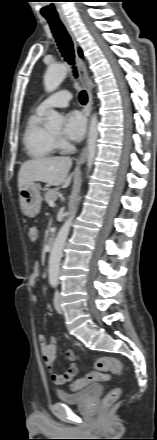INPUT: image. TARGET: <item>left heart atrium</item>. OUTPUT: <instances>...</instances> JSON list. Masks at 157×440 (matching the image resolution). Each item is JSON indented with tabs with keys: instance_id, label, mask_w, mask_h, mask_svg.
Listing matches in <instances>:
<instances>
[{
	"instance_id": "1",
	"label": "left heart atrium",
	"mask_w": 157,
	"mask_h": 440,
	"mask_svg": "<svg viewBox=\"0 0 157 440\" xmlns=\"http://www.w3.org/2000/svg\"><path fill=\"white\" fill-rule=\"evenodd\" d=\"M86 132L85 118L79 113H70L65 117L63 136L70 141H80Z\"/></svg>"
}]
</instances>
